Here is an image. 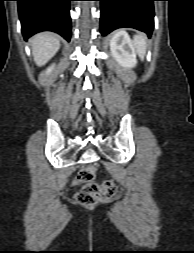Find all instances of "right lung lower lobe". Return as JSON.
Listing matches in <instances>:
<instances>
[{
    "instance_id": "right-lung-lower-lobe-1",
    "label": "right lung lower lobe",
    "mask_w": 194,
    "mask_h": 253,
    "mask_svg": "<svg viewBox=\"0 0 194 253\" xmlns=\"http://www.w3.org/2000/svg\"><path fill=\"white\" fill-rule=\"evenodd\" d=\"M25 39L41 31H53L68 42L71 36V0H16Z\"/></svg>"
}]
</instances>
